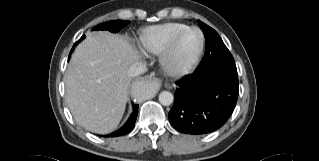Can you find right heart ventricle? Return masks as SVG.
Here are the masks:
<instances>
[{"instance_id": "e07e8e85", "label": "right heart ventricle", "mask_w": 319, "mask_h": 161, "mask_svg": "<svg viewBox=\"0 0 319 161\" xmlns=\"http://www.w3.org/2000/svg\"><path fill=\"white\" fill-rule=\"evenodd\" d=\"M188 27L180 22H167L144 29L139 36V46L145 54L160 55L166 49L172 36Z\"/></svg>"}]
</instances>
